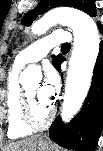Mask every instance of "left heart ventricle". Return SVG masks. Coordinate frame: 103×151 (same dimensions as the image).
I'll list each match as a JSON object with an SVG mask.
<instances>
[{
    "instance_id": "left-heart-ventricle-1",
    "label": "left heart ventricle",
    "mask_w": 103,
    "mask_h": 151,
    "mask_svg": "<svg viewBox=\"0 0 103 151\" xmlns=\"http://www.w3.org/2000/svg\"><path fill=\"white\" fill-rule=\"evenodd\" d=\"M28 96L31 101L32 113L37 121H44L50 111L51 104L44 102L39 94L40 84L35 82L26 87Z\"/></svg>"
}]
</instances>
